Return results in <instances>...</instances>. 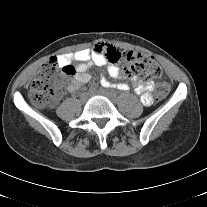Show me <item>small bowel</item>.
<instances>
[{
    "label": "small bowel",
    "instance_id": "small-bowel-1",
    "mask_svg": "<svg viewBox=\"0 0 207 207\" xmlns=\"http://www.w3.org/2000/svg\"><path fill=\"white\" fill-rule=\"evenodd\" d=\"M57 59L61 66L70 65L74 70V73L67 84V90L69 92H75L82 85L89 82L90 74L88 71L93 65L105 66L107 74L112 78H118L123 75L118 65L109 63L104 55L95 50V48L92 50L81 49L74 53L62 54L59 55ZM133 84L136 93L140 95L142 103L144 105L152 104L153 83L142 82L137 78H134ZM99 86L110 91L129 92L131 90V84L129 82H113L106 78H101L99 80Z\"/></svg>",
    "mask_w": 207,
    "mask_h": 207
}]
</instances>
